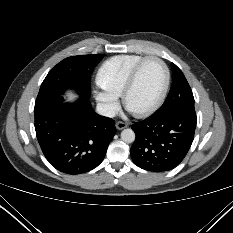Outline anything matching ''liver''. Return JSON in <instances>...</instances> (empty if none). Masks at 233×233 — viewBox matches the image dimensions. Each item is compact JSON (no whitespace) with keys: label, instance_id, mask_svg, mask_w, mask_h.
Listing matches in <instances>:
<instances>
[{"label":"liver","instance_id":"1","mask_svg":"<svg viewBox=\"0 0 233 233\" xmlns=\"http://www.w3.org/2000/svg\"><path fill=\"white\" fill-rule=\"evenodd\" d=\"M66 97H67V100L68 101H73L76 97H77V95H75L73 92H71V91H68L67 93H66V95H65Z\"/></svg>","mask_w":233,"mask_h":233}]
</instances>
